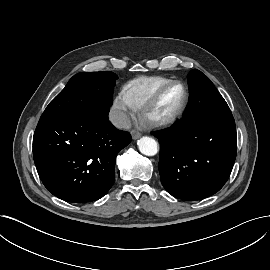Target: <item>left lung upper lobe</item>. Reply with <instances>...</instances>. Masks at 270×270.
Wrapping results in <instances>:
<instances>
[{"label": "left lung upper lobe", "mask_w": 270, "mask_h": 270, "mask_svg": "<svg viewBox=\"0 0 270 270\" xmlns=\"http://www.w3.org/2000/svg\"><path fill=\"white\" fill-rule=\"evenodd\" d=\"M189 103L196 116L205 121L233 118L230 108L210 79L194 69L188 74Z\"/></svg>", "instance_id": "obj_1"}]
</instances>
